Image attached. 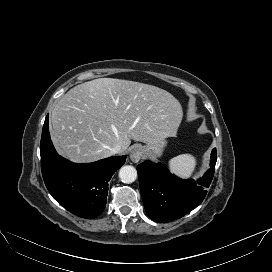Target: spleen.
Masks as SVG:
<instances>
[{
    "mask_svg": "<svg viewBox=\"0 0 272 272\" xmlns=\"http://www.w3.org/2000/svg\"><path fill=\"white\" fill-rule=\"evenodd\" d=\"M196 164V158L191 154H182L169 160L171 172L185 179L191 177Z\"/></svg>",
    "mask_w": 272,
    "mask_h": 272,
    "instance_id": "spleen-1",
    "label": "spleen"
}]
</instances>
